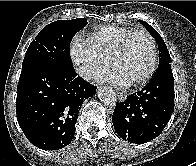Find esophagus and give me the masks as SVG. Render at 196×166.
<instances>
[{
    "mask_svg": "<svg viewBox=\"0 0 196 166\" xmlns=\"http://www.w3.org/2000/svg\"><path fill=\"white\" fill-rule=\"evenodd\" d=\"M117 96H118V99L120 102H123L126 100V94H124V93L119 92V93H117Z\"/></svg>",
    "mask_w": 196,
    "mask_h": 166,
    "instance_id": "34e87169",
    "label": "esophagus"
}]
</instances>
